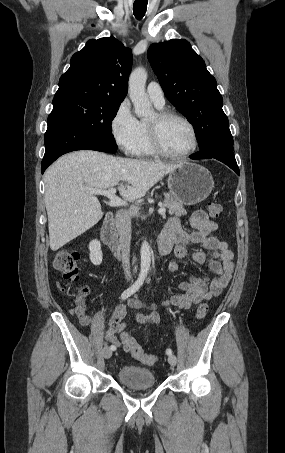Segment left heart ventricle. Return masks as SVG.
Listing matches in <instances>:
<instances>
[{"mask_svg": "<svg viewBox=\"0 0 285 453\" xmlns=\"http://www.w3.org/2000/svg\"><path fill=\"white\" fill-rule=\"evenodd\" d=\"M156 120L155 114L148 120L153 123ZM161 138L164 147L172 153L187 151L193 143V137L189 127L181 120L171 118L161 125Z\"/></svg>", "mask_w": 285, "mask_h": 453, "instance_id": "1", "label": "left heart ventricle"}]
</instances>
